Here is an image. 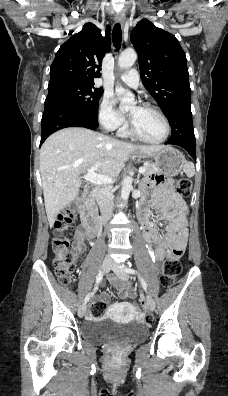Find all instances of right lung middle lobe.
I'll return each mask as SVG.
<instances>
[{
  "label": "right lung middle lobe",
  "instance_id": "dd1d6c3e",
  "mask_svg": "<svg viewBox=\"0 0 228 396\" xmlns=\"http://www.w3.org/2000/svg\"><path fill=\"white\" fill-rule=\"evenodd\" d=\"M102 94V87L96 88L93 84L65 82L48 86V96L45 101L62 100L98 116V102Z\"/></svg>",
  "mask_w": 228,
  "mask_h": 396
}]
</instances>
